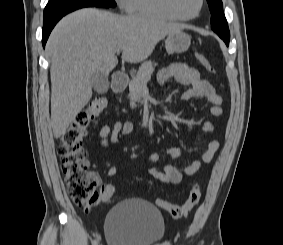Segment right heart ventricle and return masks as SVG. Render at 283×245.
<instances>
[{"instance_id": "1", "label": "right heart ventricle", "mask_w": 283, "mask_h": 245, "mask_svg": "<svg viewBox=\"0 0 283 245\" xmlns=\"http://www.w3.org/2000/svg\"><path fill=\"white\" fill-rule=\"evenodd\" d=\"M125 9L132 15L167 20L174 19L163 9L161 0H127Z\"/></svg>"}]
</instances>
